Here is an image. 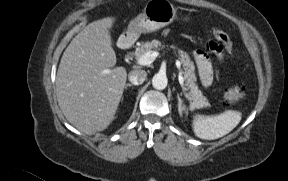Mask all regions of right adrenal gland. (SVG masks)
Segmentation results:
<instances>
[{"label":"right adrenal gland","instance_id":"obj_1","mask_svg":"<svg viewBox=\"0 0 288 181\" xmlns=\"http://www.w3.org/2000/svg\"><path fill=\"white\" fill-rule=\"evenodd\" d=\"M132 86H133V84L127 83V84L125 85V88H127V87H132Z\"/></svg>","mask_w":288,"mask_h":181}]
</instances>
